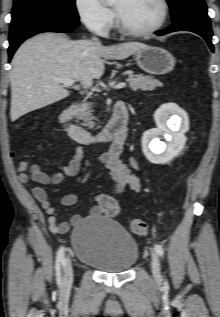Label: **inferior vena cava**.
I'll list each match as a JSON object with an SVG mask.
<instances>
[{"label": "inferior vena cava", "mask_w": 220, "mask_h": 317, "mask_svg": "<svg viewBox=\"0 0 220 317\" xmlns=\"http://www.w3.org/2000/svg\"><path fill=\"white\" fill-rule=\"evenodd\" d=\"M93 40H94V41H98V39H97V38H93Z\"/></svg>", "instance_id": "1"}]
</instances>
